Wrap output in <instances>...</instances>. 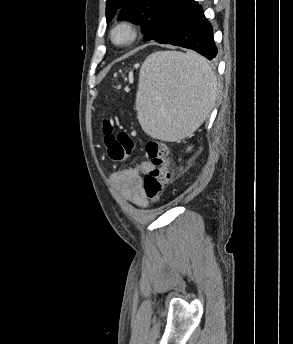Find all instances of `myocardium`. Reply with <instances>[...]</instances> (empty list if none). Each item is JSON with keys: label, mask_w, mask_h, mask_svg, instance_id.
Listing matches in <instances>:
<instances>
[{"label": "myocardium", "mask_w": 293, "mask_h": 344, "mask_svg": "<svg viewBox=\"0 0 293 344\" xmlns=\"http://www.w3.org/2000/svg\"><path fill=\"white\" fill-rule=\"evenodd\" d=\"M110 38L116 46L130 45L137 38L136 27L131 21L122 20L112 28Z\"/></svg>", "instance_id": "1"}]
</instances>
